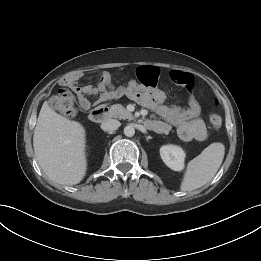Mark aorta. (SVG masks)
<instances>
[{
	"label": "aorta",
	"instance_id": "obj_1",
	"mask_svg": "<svg viewBox=\"0 0 261 261\" xmlns=\"http://www.w3.org/2000/svg\"><path fill=\"white\" fill-rule=\"evenodd\" d=\"M124 134H125V136H127V137H132V136H134V134H135V129H134V127L131 126V125L126 126V127L124 128Z\"/></svg>",
	"mask_w": 261,
	"mask_h": 261
}]
</instances>
